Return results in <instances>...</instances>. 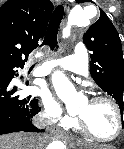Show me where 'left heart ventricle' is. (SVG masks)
<instances>
[{"label": "left heart ventricle", "instance_id": "left-heart-ventricle-1", "mask_svg": "<svg viewBox=\"0 0 124 149\" xmlns=\"http://www.w3.org/2000/svg\"><path fill=\"white\" fill-rule=\"evenodd\" d=\"M77 115L81 116L90 130L99 137L110 138L116 133L117 118L109 103L86 101L78 106Z\"/></svg>", "mask_w": 124, "mask_h": 149}]
</instances>
